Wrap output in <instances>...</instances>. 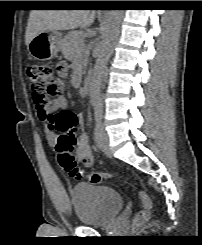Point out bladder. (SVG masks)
<instances>
[{
  "instance_id": "bladder-1",
  "label": "bladder",
  "mask_w": 202,
  "mask_h": 245,
  "mask_svg": "<svg viewBox=\"0 0 202 245\" xmlns=\"http://www.w3.org/2000/svg\"><path fill=\"white\" fill-rule=\"evenodd\" d=\"M72 206L79 223L101 226L109 222L124 205L116 190L97 184H78L71 192Z\"/></svg>"
}]
</instances>
